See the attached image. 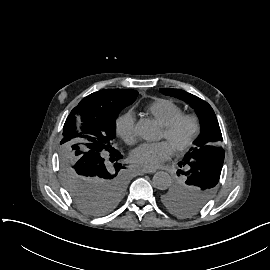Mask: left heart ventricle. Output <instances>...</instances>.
Listing matches in <instances>:
<instances>
[{
  "label": "left heart ventricle",
  "instance_id": "b2bd125f",
  "mask_svg": "<svg viewBox=\"0 0 270 270\" xmlns=\"http://www.w3.org/2000/svg\"><path fill=\"white\" fill-rule=\"evenodd\" d=\"M190 131H191V124L189 122L183 123L179 127L176 134L178 140L185 141L188 138ZM161 139H170L169 136L167 135V132L164 129L162 130Z\"/></svg>",
  "mask_w": 270,
  "mask_h": 270
}]
</instances>
